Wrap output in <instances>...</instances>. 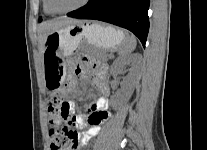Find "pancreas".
Listing matches in <instances>:
<instances>
[{"mask_svg":"<svg viewBox=\"0 0 207 150\" xmlns=\"http://www.w3.org/2000/svg\"><path fill=\"white\" fill-rule=\"evenodd\" d=\"M107 58H108V54H105V55L103 56V58H102V61H106Z\"/></svg>","mask_w":207,"mask_h":150,"instance_id":"cf45deb5","label":"pancreas"}]
</instances>
